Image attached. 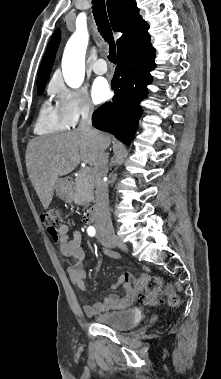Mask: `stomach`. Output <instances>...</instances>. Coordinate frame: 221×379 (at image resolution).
Here are the masks:
<instances>
[{
    "label": "stomach",
    "instance_id": "0dacf381",
    "mask_svg": "<svg viewBox=\"0 0 221 379\" xmlns=\"http://www.w3.org/2000/svg\"><path fill=\"white\" fill-rule=\"evenodd\" d=\"M56 193L57 195L64 200H69L71 198V186L66 178H60L56 182Z\"/></svg>",
    "mask_w": 221,
    "mask_h": 379
}]
</instances>
